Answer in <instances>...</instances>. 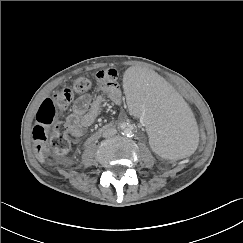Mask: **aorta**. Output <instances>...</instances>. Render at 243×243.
I'll list each match as a JSON object with an SVG mask.
<instances>
[{"instance_id": "aorta-1", "label": "aorta", "mask_w": 243, "mask_h": 243, "mask_svg": "<svg viewBox=\"0 0 243 243\" xmlns=\"http://www.w3.org/2000/svg\"><path fill=\"white\" fill-rule=\"evenodd\" d=\"M123 132L126 135H131L133 133V128L131 126H124L123 127Z\"/></svg>"}]
</instances>
